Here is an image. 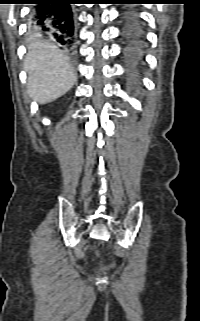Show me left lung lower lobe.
Returning <instances> with one entry per match:
<instances>
[{
    "instance_id": "obj_1",
    "label": "left lung lower lobe",
    "mask_w": 200,
    "mask_h": 321,
    "mask_svg": "<svg viewBox=\"0 0 200 321\" xmlns=\"http://www.w3.org/2000/svg\"><path fill=\"white\" fill-rule=\"evenodd\" d=\"M142 0H124L122 4H138ZM123 37L132 50H137L143 44V35L135 20L127 15L123 18Z\"/></svg>"
}]
</instances>
